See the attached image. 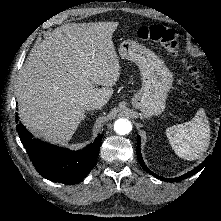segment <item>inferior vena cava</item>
<instances>
[{"mask_svg": "<svg viewBox=\"0 0 221 221\" xmlns=\"http://www.w3.org/2000/svg\"><path fill=\"white\" fill-rule=\"evenodd\" d=\"M103 103L100 100H89L85 103L84 108L85 110H93V109H101Z\"/></svg>", "mask_w": 221, "mask_h": 221, "instance_id": "obj_1", "label": "inferior vena cava"}]
</instances>
